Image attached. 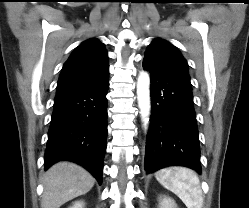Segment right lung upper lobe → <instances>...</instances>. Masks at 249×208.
Instances as JSON below:
<instances>
[{
	"mask_svg": "<svg viewBox=\"0 0 249 208\" xmlns=\"http://www.w3.org/2000/svg\"><path fill=\"white\" fill-rule=\"evenodd\" d=\"M108 75V55L104 44L95 38L84 41L65 62L57 85L67 92L92 84Z\"/></svg>",
	"mask_w": 249,
	"mask_h": 208,
	"instance_id": "1",
	"label": "right lung upper lobe"
}]
</instances>
